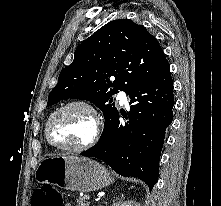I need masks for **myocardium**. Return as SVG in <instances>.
Returning a JSON list of instances; mask_svg holds the SVG:
<instances>
[{
    "label": "myocardium",
    "mask_w": 221,
    "mask_h": 206,
    "mask_svg": "<svg viewBox=\"0 0 221 206\" xmlns=\"http://www.w3.org/2000/svg\"><path fill=\"white\" fill-rule=\"evenodd\" d=\"M73 107L82 108L85 111H87L91 116L92 125H93L91 136L87 141H85L81 145H76V146L59 145L51 139L50 136L51 124L59 114ZM100 133H101V122L99 114L96 108L91 103L85 100H71L59 106L51 113L45 125V136L48 143L59 150L68 151V152H84L90 149L98 141Z\"/></svg>",
    "instance_id": "myocardium-1"
}]
</instances>
